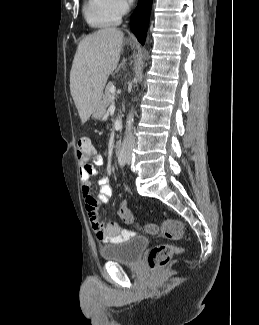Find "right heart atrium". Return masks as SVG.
I'll return each instance as SVG.
<instances>
[{"mask_svg":"<svg viewBox=\"0 0 259 325\" xmlns=\"http://www.w3.org/2000/svg\"><path fill=\"white\" fill-rule=\"evenodd\" d=\"M108 2L111 10L120 17L128 11L131 0H108Z\"/></svg>","mask_w":259,"mask_h":325,"instance_id":"d8ad5b80","label":"right heart atrium"}]
</instances>
